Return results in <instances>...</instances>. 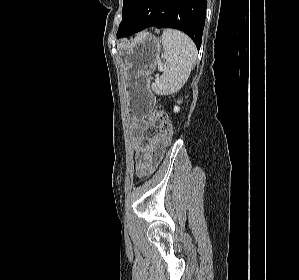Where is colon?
Wrapping results in <instances>:
<instances>
[{
  "mask_svg": "<svg viewBox=\"0 0 299 280\" xmlns=\"http://www.w3.org/2000/svg\"><path fill=\"white\" fill-rule=\"evenodd\" d=\"M149 120L167 136L168 140L172 138L173 127L168 114L162 107H155L149 114Z\"/></svg>",
  "mask_w": 299,
  "mask_h": 280,
  "instance_id": "colon-1",
  "label": "colon"
}]
</instances>
